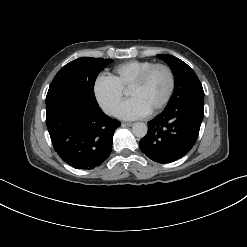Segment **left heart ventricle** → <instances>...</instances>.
Masks as SVG:
<instances>
[{
  "label": "left heart ventricle",
  "instance_id": "b2bd125f",
  "mask_svg": "<svg viewBox=\"0 0 247 247\" xmlns=\"http://www.w3.org/2000/svg\"><path fill=\"white\" fill-rule=\"evenodd\" d=\"M169 85L170 79L167 71L163 68H156L142 86L129 89L128 96L140 101L150 111L164 99Z\"/></svg>",
  "mask_w": 247,
  "mask_h": 247
}]
</instances>
